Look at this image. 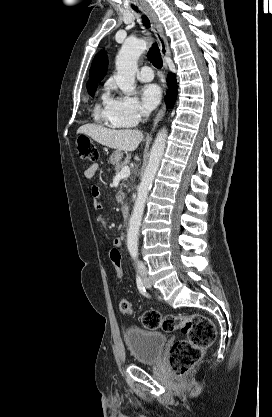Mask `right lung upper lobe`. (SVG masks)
<instances>
[{
  "instance_id": "1",
  "label": "right lung upper lobe",
  "mask_w": 272,
  "mask_h": 417,
  "mask_svg": "<svg viewBox=\"0 0 272 417\" xmlns=\"http://www.w3.org/2000/svg\"><path fill=\"white\" fill-rule=\"evenodd\" d=\"M107 55L104 51H100L94 58L89 71V80L87 82V90L97 88L98 82L104 77L107 71Z\"/></svg>"
}]
</instances>
